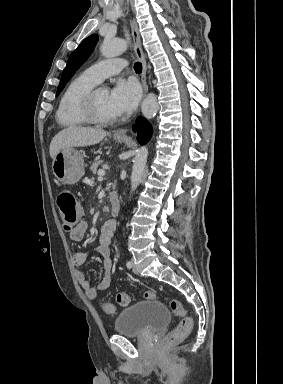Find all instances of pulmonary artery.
Returning <instances> with one entry per match:
<instances>
[{
	"label": "pulmonary artery",
	"instance_id": "obj_1",
	"mask_svg": "<svg viewBox=\"0 0 283 384\" xmlns=\"http://www.w3.org/2000/svg\"><path fill=\"white\" fill-rule=\"evenodd\" d=\"M128 65L125 61H101L85 71L90 80L98 84L106 77L117 75L120 71H127Z\"/></svg>",
	"mask_w": 283,
	"mask_h": 384
}]
</instances>
